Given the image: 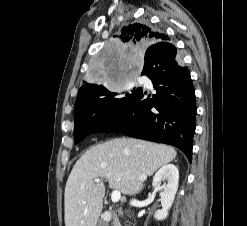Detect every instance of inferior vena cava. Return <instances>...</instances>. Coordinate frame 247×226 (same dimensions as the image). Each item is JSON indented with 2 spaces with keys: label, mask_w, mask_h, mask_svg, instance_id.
Instances as JSON below:
<instances>
[{
  "label": "inferior vena cava",
  "mask_w": 247,
  "mask_h": 226,
  "mask_svg": "<svg viewBox=\"0 0 247 226\" xmlns=\"http://www.w3.org/2000/svg\"><path fill=\"white\" fill-rule=\"evenodd\" d=\"M136 203H137V201L135 199L131 200V202H130V204L133 206L136 205Z\"/></svg>",
  "instance_id": "1"
}]
</instances>
